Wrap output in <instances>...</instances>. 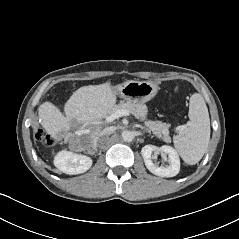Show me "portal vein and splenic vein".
<instances>
[{
	"label": "portal vein and splenic vein",
	"instance_id": "obj_1",
	"mask_svg": "<svg viewBox=\"0 0 239 239\" xmlns=\"http://www.w3.org/2000/svg\"><path fill=\"white\" fill-rule=\"evenodd\" d=\"M130 112L124 109L117 110L107 117V122H111L122 116H129Z\"/></svg>",
	"mask_w": 239,
	"mask_h": 239
}]
</instances>
